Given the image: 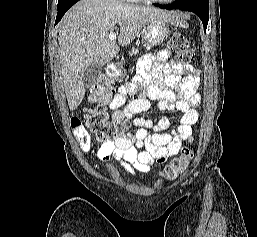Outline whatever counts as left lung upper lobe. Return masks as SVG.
I'll return each instance as SVG.
<instances>
[{"instance_id": "5c2ea615", "label": "left lung upper lobe", "mask_w": 257, "mask_h": 237, "mask_svg": "<svg viewBox=\"0 0 257 237\" xmlns=\"http://www.w3.org/2000/svg\"><path fill=\"white\" fill-rule=\"evenodd\" d=\"M179 4H186L190 2L209 3V0H176Z\"/></svg>"}]
</instances>
